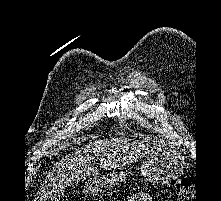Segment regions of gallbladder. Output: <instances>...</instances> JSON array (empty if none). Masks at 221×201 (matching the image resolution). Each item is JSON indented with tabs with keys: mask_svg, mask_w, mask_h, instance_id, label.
<instances>
[{
	"mask_svg": "<svg viewBox=\"0 0 221 201\" xmlns=\"http://www.w3.org/2000/svg\"><path fill=\"white\" fill-rule=\"evenodd\" d=\"M64 193L65 191L63 188H56L49 195V198L51 199V201H59L64 196Z\"/></svg>",
	"mask_w": 221,
	"mask_h": 201,
	"instance_id": "obj_1",
	"label": "gallbladder"
}]
</instances>
